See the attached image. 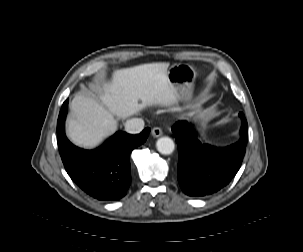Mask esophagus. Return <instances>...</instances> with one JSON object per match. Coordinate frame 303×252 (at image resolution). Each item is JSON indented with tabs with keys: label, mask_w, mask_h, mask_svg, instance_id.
<instances>
[{
	"label": "esophagus",
	"mask_w": 303,
	"mask_h": 252,
	"mask_svg": "<svg viewBox=\"0 0 303 252\" xmlns=\"http://www.w3.org/2000/svg\"><path fill=\"white\" fill-rule=\"evenodd\" d=\"M162 130L159 128V127H154L152 130H151V135L154 137V138H158L162 135Z\"/></svg>",
	"instance_id": "obj_1"
}]
</instances>
